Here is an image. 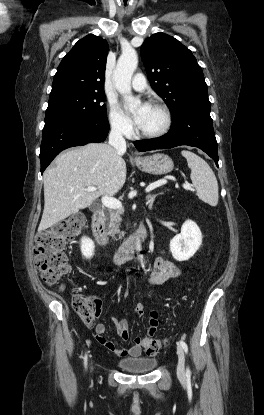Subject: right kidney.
I'll return each mask as SVG.
<instances>
[{"label": "right kidney", "instance_id": "obj_1", "mask_svg": "<svg viewBox=\"0 0 264 415\" xmlns=\"http://www.w3.org/2000/svg\"><path fill=\"white\" fill-rule=\"evenodd\" d=\"M80 245H81L82 255L85 258L90 259L94 254V249H95L94 242L88 237H83L81 239Z\"/></svg>", "mask_w": 264, "mask_h": 415}]
</instances>
